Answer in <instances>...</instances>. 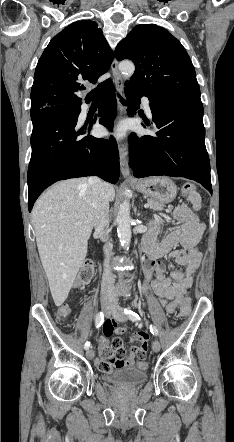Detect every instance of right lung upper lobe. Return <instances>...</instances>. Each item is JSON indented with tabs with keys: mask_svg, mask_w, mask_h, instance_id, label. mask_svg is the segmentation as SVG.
<instances>
[{
	"mask_svg": "<svg viewBox=\"0 0 234 442\" xmlns=\"http://www.w3.org/2000/svg\"><path fill=\"white\" fill-rule=\"evenodd\" d=\"M113 59L114 52L95 22L70 24L50 41L37 63L31 89L32 111L81 103L78 92L84 89L82 82L95 84ZM108 81L88 93L86 100Z\"/></svg>",
	"mask_w": 234,
	"mask_h": 442,
	"instance_id": "1",
	"label": "right lung upper lobe"
}]
</instances>
